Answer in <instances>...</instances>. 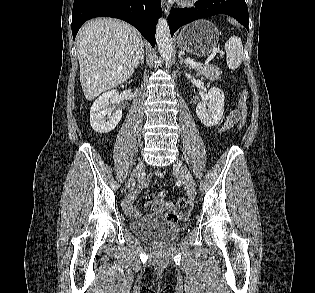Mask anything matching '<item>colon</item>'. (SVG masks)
I'll return each mask as SVG.
<instances>
[{
	"mask_svg": "<svg viewBox=\"0 0 315 293\" xmlns=\"http://www.w3.org/2000/svg\"><path fill=\"white\" fill-rule=\"evenodd\" d=\"M250 107L247 105V91L245 89H242L239 101H238V115L239 118L236 120L237 127H246L248 120L250 116ZM176 205L179 208H185L187 206V200L186 198L180 197L176 200Z\"/></svg>",
	"mask_w": 315,
	"mask_h": 293,
	"instance_id": "colon-1",
	"label": "colon"
}]
</instances>
